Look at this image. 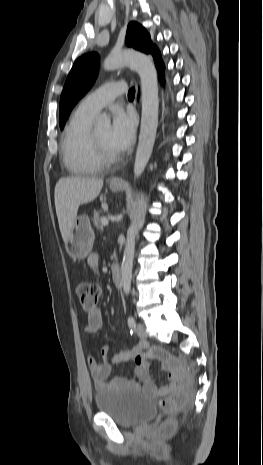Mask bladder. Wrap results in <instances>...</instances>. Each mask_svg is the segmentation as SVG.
<instances>
[{
    "label": "bladder",
    "instance_id": "1",
    "mask_svg": "<svg viewBox=\"0 0 263 465\" xmlns=\"http://www.w3.org/2000/svg\"><path fill=\"white\" fill-rule=\"evenodd\" d=\"M99 412L110 416L123 427H134L152 420L157 408L153 400L139 390L108 387L95 394Z\"/></svg>",
    "mask_w": 263,
    "mask_h": 465
}]
</instances>
